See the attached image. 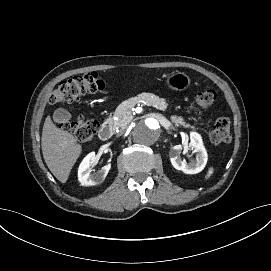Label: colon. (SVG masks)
Listing matches in <instances>:
<instances>
[{
	"mask_svg": "<svg viewBox=\"0 0 271 271\" xmlns=\"http://www.w3.org/2000/svg\"><path fill=\"white\" fill-rule=\"evenodd\" d=\"M107 85L96 72L77 75L61 82L50 97L53 104H66L77 101L87 93L102 91ZM216 100V93L213 90L200 92L193 105V110L200 111L210 107ZM64 130L73 133L79 142L87 144L92 141L98 123L94 120H87L82 117L62 124ZM210 140L214 144L227 143L231 140V125L226 117H220L213 123L210 131Z\"/></svg>",
	"mask_w": 271,
	"mask_h": 271,
	"instance_id": "obj_1",
	"label": "colon"
}]
</instances>
